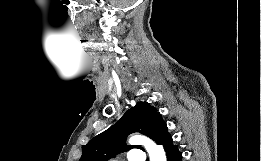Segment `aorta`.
Here are the masks:
<instances>
[{"mask_svg":"<svg viewBox=\"0 0 261 161\" xmlns=\"http://www.w3.org/2000/svg\"><path fill=\"white\" fill-rule=\"evenodd\" d=\"M129 143L132 145H143L149 154L150 161H166L163 147L145 136L134 135L129 139Z\"/></svg>","mask_w":261,"mask_h":161,"instance_id":"obj_1","label":"aorta"}]
</instances>
